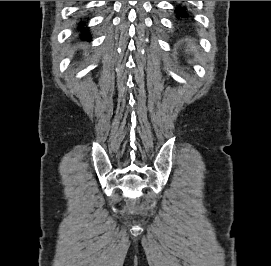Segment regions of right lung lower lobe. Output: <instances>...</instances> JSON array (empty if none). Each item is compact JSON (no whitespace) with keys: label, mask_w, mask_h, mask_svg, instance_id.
<instances>
[{"label":"right lung lower lobe","mask_w":271,"mask_h":266,"mask_svg":"<svg viewBox=\"0 0 271 266\" xmlns=\"http://www.w3.org/2000/svg\"><path fill=\"white\" fill-rule=\"evenodd\" d=\"M78 25H79V30H81V34L83 35V37H85L86 39H90V36L88 34V30L83 29L85 22H79Z\"/></svg>","instance_id":"obj_1"}]
</instances>
